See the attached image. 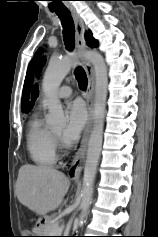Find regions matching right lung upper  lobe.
<instances>
[{"label":"right lung upper lobe","mask_w":158,"mask_h":237,"mask_svg":"<svg viewBox=\"0 0 158 237\" xmlns=\"http://www.w3.org/2000/svg\"><path fill=\"white\" fill-rule=\"evenodd\" d=\"M37 96H38V90L35 88L34 91H33V94H32V101H34ZM32 105H33V103H31V102H29L27 104L26 112H28L31 109Z\"/></svg>","instance_id":"obj_1"}]
</instances>
